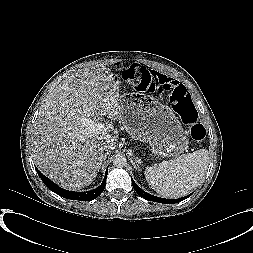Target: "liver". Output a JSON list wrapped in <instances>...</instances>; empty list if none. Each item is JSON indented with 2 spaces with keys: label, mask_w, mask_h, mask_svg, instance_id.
Listing matches in <instances>:
<instances>
[{
  "label": "liver",
  "mask_w": 253,
  "mask_h": 253,
  "mask_svg": "<svg viewBox=\"0 0 253 253\" xmlns=\"http://www.w3.org/2000/svg\"><path fill=\"white\" fill-rule=\"evenodd\" d=\"M122 70V69H119ZM120 81L108 68L78 70L49 94L33 124L32 153L40 171L65 189L89 186L117 136L89 134L82 118L106 115L120 120Z\"/></svg>",
  "instance_id": "6515ba94"
}]
</instances>
